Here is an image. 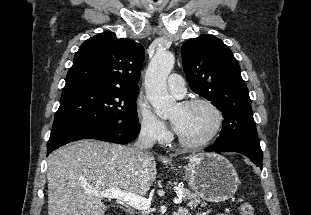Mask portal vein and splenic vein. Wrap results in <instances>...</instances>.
<instances>
[{
	"mask_svg": "<svg viewBox=\"0 0 311 215\" xmlns=\"http://www.w3.org/2000/svg\"><path fill=\"white\" fill-rule=\"evenodd\" d=\"M96 196L108 198V199H116L122 202H125L129 206L142 211H147L151 207V200L146 199L142 196L132 194L130 192H125L121 189H106L101 192H95ZM173 202L175 204L182 203V196L178 198H174Z\"/></svg>",
	"mask_w": 311,
	"mask_h": 215,
	"instance_id": "1",
	"label": "portal vein and splenic vein"
}]
</instances>
